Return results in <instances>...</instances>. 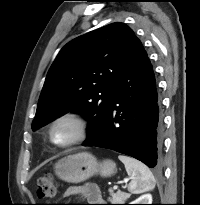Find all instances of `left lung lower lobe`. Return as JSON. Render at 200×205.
<instances>
[{
	"instance_id": "1",
	"label": "left lung lower lobe",
	"mask_w": 200,
	"mask_h": 205,
	"mask_svg": "<svg viewBox=\"0 0 200 205\" xmlns=\"http://www.w3.org/2000/svg\"><path fill=\"white\" fill-rule=\"evenodd\" d=\"M162 118L152 65L137 39L114 84V96L97 137L83 146L111 149L150 168L161 163Z\"/></svg>"
}]
</instances>
